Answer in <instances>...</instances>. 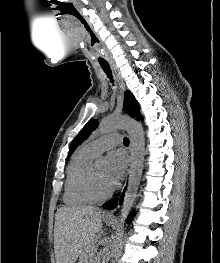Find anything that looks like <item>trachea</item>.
I'll return each mask as SVG.
<instances>
[{
  "label": "trachea",
  "mask_w": 220,
  "mask_h": 263,
  "mask_svg": "<svg viewBox=\"0 0 220 263\" xmlns=\"http://www.w3.org/2000/svg\"><path fill=\"white\" fill-rule=\"evenodd\" d=\"M103 71L106 73L107 77L110 79L111 83H114L113 77H112V71L110 69V66L108 64L101 65ZM124 145H129V139L127 137L124 138Z\"/></svg>",
  "instance_id": "1"
}]
</instances>
